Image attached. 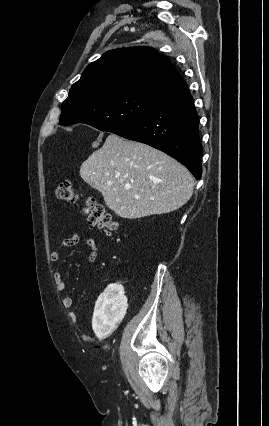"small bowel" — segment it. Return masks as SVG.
Wrapping results in <instances>:
<instances>
[{"mask_svg":"<svg viewBox=\"0 0 269 426\" xmlns=\"http://www.w3.org/2000/svg\"><path fill=\"white\" fill-rule=\"evenodd\" d=\"M78 242H79V236L76 233H72L68 237L64 238L61 241L59 248L50 253V260L52 262L57 261L58 258H59L61 249L75 246V245L78 244ZM86 245L90 250V255H89L88 261L90 263H93L97 259V255H98V243H97L96 239L88 238L86 240ZM53 280H54L55 286H56L58 291L65 292V291L68 290V285H67L66 281L64 280V277H63V274H62L61 271H55L54 272ZM62 305L65 308H72L73 298L70 295L63 296L62 297Z\"/></svg>","mask_w":269,"mask_h":426,"instance_id":"small-bowel-1","label":"small bowel"}]
</instances>
